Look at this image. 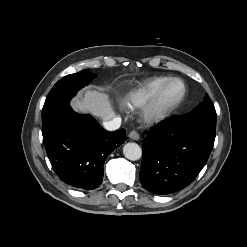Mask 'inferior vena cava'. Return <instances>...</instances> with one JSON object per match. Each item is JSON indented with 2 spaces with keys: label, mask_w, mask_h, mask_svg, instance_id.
Wrapping results in <instances>:
<instances>
[{
  "label": "inferior vena cava",
  "mask_w": 247,
  "mask_h": 247,
  "mask_svg": "<svg viewBox=\"0 0 247 247\" xmlns=\"http://www.w3.org/2000/svg\"><path fill=\"white\" fill-rule=\"evenodd\" d=\"M120 125H121V117L119 116L113 117L111 120L103 122L104 128L108 131H115L119 129Z\"/></svg>",
  "instance_id": "obj_1"
}]
</instances>
